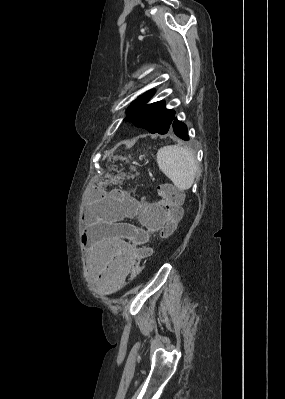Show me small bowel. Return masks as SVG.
<instances>
[{"mask_svg": "<svg viewBox=\"0 0 285 399\" xmlns=\"http://www.w3.org/2000/svg\"><path fill=\"white\" fill-rule=\"evenodd\" d=\"M118 216L125 226L118 235L104 236L98 252L91 250L88 260L100 285L109 292L118 291L133 276L132 265L137 248L147 244L150 235L157 233L168 221V215L159 203L149 206L137 199L124 206ZM132 217L138 218L140 226L126 221Z\"/></svg>", "mask_w": 285, "mask_h": 399, "instance_id": "obj_1", "label": "small bowel"}]
</instances>
